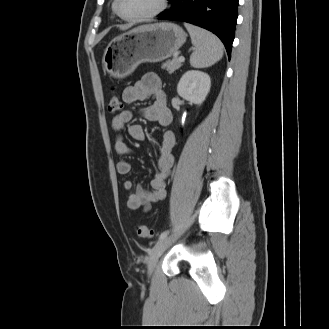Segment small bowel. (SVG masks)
I'll use <instances>...</instances> for the list:
<instances>
[{"mask_svg":"<svg viewBox=\"0 0 329 329\" xmlns=\"http://www.w3.org/2000/svg\"><path fill=\"white\" fill-rule=\"evenodd\" d=\"M153 98V103L141 110V114L149 121L156 122L160 126H168L172 121V114L167 105L166 95L162 90V82L156 73H147L135 84L126 87L122 93V99L127 104L144 101ZM133 118L130 110H123L111 120V128L117 133L115 138V151L120 155L130 154V149L124 141L121 131L127 125V132L131 139L143 141L145 132L139 124H128ZM175 135L166 130L162 133L159 155L157 157L158 173L151 180V189L142 185L134 187L130 178L123 180V187L128 191L127 205L136 210L147 208L150 204L159 202L166 195L165 183L174 164ZM117 172L125 177L132 172L131 163L126 159H120L116 163Z\"/></svg>","mask_w":329,"mask_h":329,"instance_id":"1","label":"small bowel"}]
</instances>
